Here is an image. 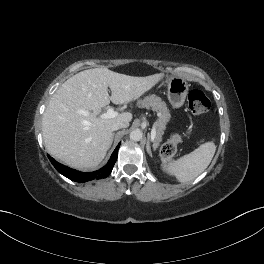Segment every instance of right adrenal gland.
I'll return each mask as SVG.
<instances>
[{"label": "right adrenal gland", "mask_w": 264, "mask_h": 264, "mask_svg": "<svg viewBox=\"0 0 264 264\" xmlns=\"http://www.w3.org/2000/svg\"><path fill=\"white\" fill-rule=\"evenodd\" d=\"M114 135H115V133L112 134V141H113V139H114Z\"/></svg>", "instance_id": "2a0ac1e0"}]
</instances>
